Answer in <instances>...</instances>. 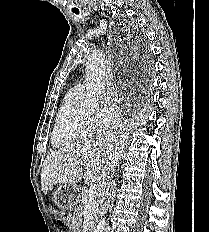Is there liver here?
Wrapping results in <instances>:
<instances>
[{"label": "liver", "mask_w": 209, "mask_h": 232, "mask_svg": "<svg viewBox=\"0 0 209 232\" xmlns=\"http://www.w3.org/2000/svg\"><path fill=\"white\" fill-rule=\"evenodd\" d=\"M118 141L109 142L105 137L77 142L58 151L51 152L45 159L41 172V188L47 194L57 183L74 185L84 177L85 182H100L107 165L118 156ZM85 163V171L76 164Z\"/></svg>", "instance_id": "1"}]
</instances>
